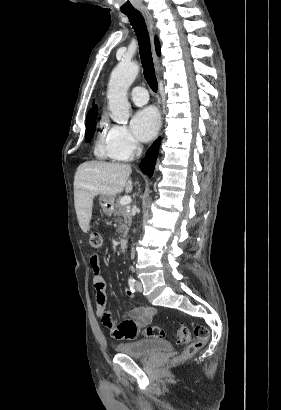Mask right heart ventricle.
Wrapping results in <instances>:
<instances>
[{
  "label": "right heart ventricle",
  "mask_w": 281,
  "mask_h": 410,
  "mask_svg": "<svg viewBox=\"0 0 281 410\" xmlns=\"http://www.w3.org/2000/svg\"><path fill=\"white\" fill-rule=\"evenodd\" d=\"M94 154L99 159L122 160L112 147L108 136V127L104 120L100 122V130L95 138Z\"/></svg>",
  "instance_id": "e07e8e85"
}]
</instances>
